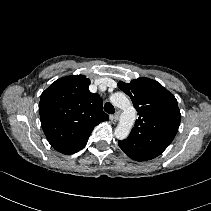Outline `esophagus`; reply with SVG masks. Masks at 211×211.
<instances>
[{
  "instance_id": "34e87169",
  "label": "esophagus",
  "mask_w": 211,
  "mask_h": 211,
  "mask_svg": "<svg viewBox=\"0 0 211 211\" xmlns=\"http://www.w3.org/2000/svg\"><path fill=\"white\" fill-rule=\"evenodd\" d=\"M120 114H121L120 111H116L115 114L111 116V119L114 121H118Z\"/></svg>"
}]
</instances>
